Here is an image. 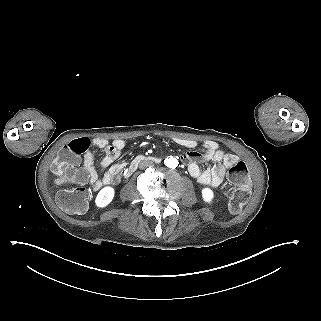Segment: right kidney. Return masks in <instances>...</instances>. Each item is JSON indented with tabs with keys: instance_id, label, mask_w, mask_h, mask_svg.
I'll return each mask as SVG.
<instances>
[{
	"instance_id": "1",
	"label": "right kidney",
	"mask_w": 321,
	"mask_h": 321,
	"mask_svg": "<svg viewBox=\"0 0 321 321\" xmlns=\"http://www.w3.org/2000/svg\"><path fill=\"white\" fill-rule=\"evenodd\" d=\"M114 196L115 189L112 186H105L98 192L95 205L98 208H105L113 201Z\"/></svg>"
}]
</instances>
